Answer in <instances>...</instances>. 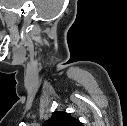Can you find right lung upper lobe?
<instances>
[{
	"mask_svg": "<svg viewBox=\"0 0 127 126\" xmlns=\"http://www.w3.org/2000/svg\"><path fill=\"white\" fill-rule=\"evenodd\" d=\"M43 126H83L82 123L63 111H56Z\"/></svg>",
	"mask_w": 127,
	"mask_h": 126,
	"instance_id": "cb5924a9",
	"label": "right lung upper lobe"
}]
</instances>
